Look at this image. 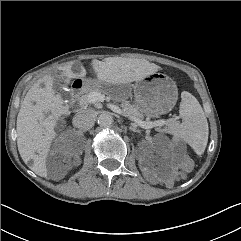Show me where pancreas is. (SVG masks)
Wrapping results in <instances>:
<instances>
[{
  "label": "pancreas",
  "mask_w": 241,
  "mask_h": 241,
  "mask_svg": "<svg viewBox=\"0 0 241 241\" xmlns=\"http://www.w3.org/2000/svg\"><path fill=\"white\" fill-rule=\"evenodd\" d=\"M93 92H97V93H101L102 94V89L100 87H92L89 90L85 91L84 94H82L79 98H78V102L80 104V106L82 108L87 107L89 104H91L92 102L89 100V95ZM121 108L123 110V112L129 116V117H135L137 119H140L142 117V114L138 111V109L128 103V102H123L121 105ZM168 123L166 125H168V128L171 130L173 128H175L177 126V121L175 119H170L167 120Z\"/></svg>",
  "instance_id": "cf45deb5"
}]
</instances>
